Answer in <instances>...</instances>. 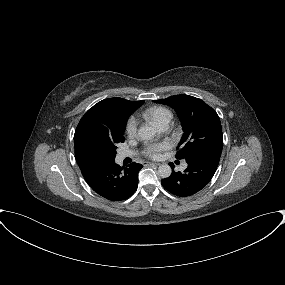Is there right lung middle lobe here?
Here are the masks:
<instances>
[{"instance_id": "right-lung-middle-lobe-1", "label": "right lung middle lobe", "mask_w": 285, "mask_h": 285, "mask_svg": "<svg viewBox=\"0 0 285 285\" xmlns=\"http://www.w3.org/2000/svg\"><path fill=\"white\" fill-rule=\"evenodd\" d=\"M126 124L113 134L99 133L88 136L82 146L83 155L90 161L101 164L113 162L117 144L124 142Z\"/></svg>"}]
</instances>
